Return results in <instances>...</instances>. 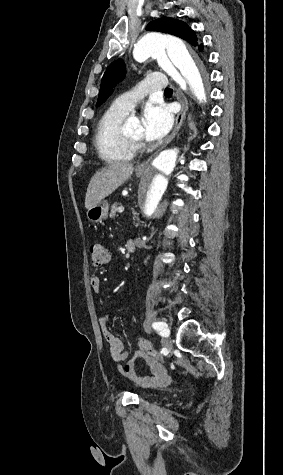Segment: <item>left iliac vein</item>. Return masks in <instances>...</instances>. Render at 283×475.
<instances>
[{"instance_id":"left-iliac-vein-1","label":"left iliac vein","mask_w":283,"mask_h":475,"mask_svg":"<svg viewBox=\"0 0 283 475\" xmlns=\"http://www.w3.org/2000/svg\"><path fill=\"white\" fill-rule=\"evenodd\" d=\"M163 331L166 333V335H165L164 338L162 339V344H163V346L166 347L169 351H171V350H172L171 342H170L167 338H165V337H167V336L169 335V333H170L169 326H167Z\"/></svg>"}]
</instances>
